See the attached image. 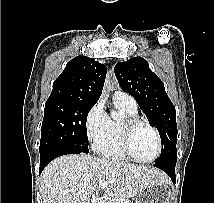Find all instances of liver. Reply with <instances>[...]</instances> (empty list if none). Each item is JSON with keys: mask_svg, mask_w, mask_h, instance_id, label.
I'll return each instance as SVG.
<instances>
[{"mask_svg": "<svg viewBox=\"0 0 214 203\" xmlns=\"http://www.w3.org/2000/svg\"><path fill=\"white\" fill-rule=\"evenodd\" d=\"M163 172L93 155H65L49 163L41 176L43 203H90L101 181H112L106 194L133 198L155 182H166ZM67 191V193H64Z\"/></svg>", "mask_w": 214, "mask_h": 203, "instance_id": "liver-1", "label": "liver"}]
</instances>
